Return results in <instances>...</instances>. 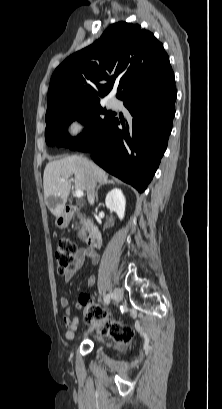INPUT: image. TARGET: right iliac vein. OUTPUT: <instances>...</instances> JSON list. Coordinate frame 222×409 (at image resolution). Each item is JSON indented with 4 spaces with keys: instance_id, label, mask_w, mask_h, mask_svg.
Segmentation results:
<instances>
[{
    "instance_id": "1",
    "label": "right iliac vein",
    "mask_w": 222,
    "mask_h": 409,
    "mask_svg": "<svg viewBox=\"0 0 222 409\" xmlns=\"http://www.w3.org/2000/svg\"><path fill=\"white\" fill-rule=\"evenodd\" d=\"M113 296H114V299H115V300H117V301L121 300L122 297H123V292H122V290L116 288V289L114 290V292H113Z\"/></svg>"
}]
</instances>
